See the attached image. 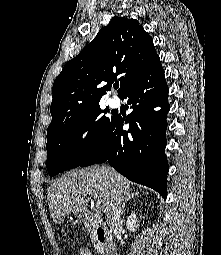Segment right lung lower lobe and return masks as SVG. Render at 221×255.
<instances>
[{
	"instance_id": "right-lung-lower-lobe-1",
	"label": "right lung lower lobe",
	"mask_w": 221,
	"mask_h": 255,
	"mask_svg": "<svg viewBox=\"0 0 221 255\" xmlns=\"http://www.w3.org/2000/svg\"><path fill=\"white\" fill-rule=\"evenodd\" d=\"M168 86L159 57L122 94L132 112L115 115L91 154L79 165L108 162L129 180L167 195L165 155ZM160 106L159 111L154 108ZM129 124L128 131L123 124Z\"/></svg>"
}]
</instances>
